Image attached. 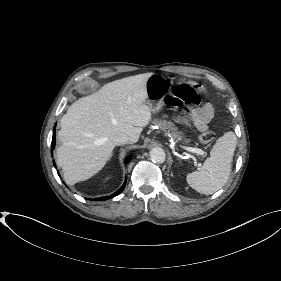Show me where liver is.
<instances>
[{"label": "liver", "mask_w": 281, "mask_h": 281, "mask_svg": "<svg viewBox=\"0 0 281 281\" xmlns=\"http://www.w3.org/2000/svg\"><path fill=\"white\" fill-rule=\"evenodd\" d=\"M144 73L105 84L99 91L75 101L61 118L57 163L64 180L73 185L97 174L112 156L113 138L125 134L136 143L151 120L145 104Z\"/></svg>", "instance_id": "6515ba94"}]
</instances>
